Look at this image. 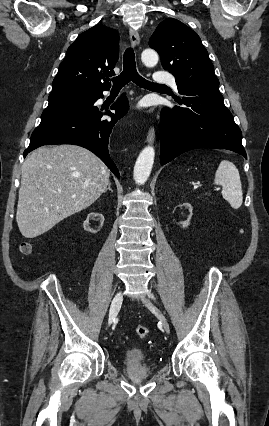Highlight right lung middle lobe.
Listing matches in <instances>:
<instances>
[{
    "mask_svg": "<svg viewBox=\"0 0 269 426\" xmlns=\"http://www.w3.org/2000/svg\"><path fill=\"white\" fill-rule=\"evenodd\" d=\"M94 93L82 91H58L49 95L48 107L41 119L77 110L93 99Z\"/></svg>",
    "mask_w": 269,
    "mask_h": 426,
    "instance_id": "right-lung-middle-lobe-1",
    "label": "right lung middle lobe"
}]
</instances>
